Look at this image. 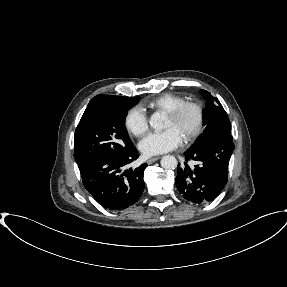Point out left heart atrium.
<instances>
[{"label":"left heart atrium","instance_id":"39dd6f15","mask_svg":"<svg viewBox=\"0 0 287 287\" xmlns=\"http://www.w3.org/2000/svg\"><path fill=\"white\" fill-rule=\"evenodd\" d=\"M183 140V136L176 128L169 127L164 131L147 135L139 143V148L146 156L159 155L177 148Z\"/></svg>","mask_w":287,"mask_h":287}]
</instances>
